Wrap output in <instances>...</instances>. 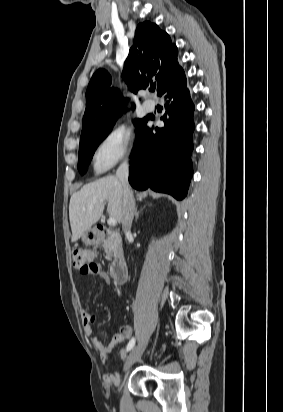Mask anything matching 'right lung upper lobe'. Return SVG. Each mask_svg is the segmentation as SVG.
Wrapping results in <instances>:
<instances>
[{"label":"right lung upper lobe","instance_id":"1","mask_svg":"<svg viewBox=\"0 0 283 412\" xmlns=\"http://www.w3.org/2000/svg\"><path fill=\"white\" fill-rule=\"evenodd\" d=\"M134 44L122 73L134 93L154 84L160 95L167 86H176L186 78L178 62L176 45L156 24L149 21L140 23L135 32ZM110 85L111 77L107 71L99 69L93 74L86 91L81 139L111 129L125 111L124 98Z\"/></svg>","mask_w":283,"mask_h":412}]
</instances>
